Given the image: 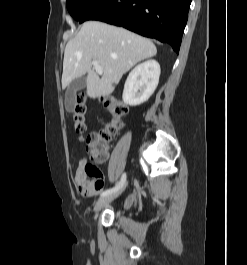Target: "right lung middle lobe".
Masks as SVG:
<instances>
[{"label":"right lung middle lobe","mask_w":247,"mask_h":265,"mask_svg":"<svg viewBox=\"0 0 247 265\" xmlns=\"http://www.w3.org/2000/svg\"><path fill=\"white\" fill-rule=\"evenodd\" d=\"M99 0H67L66 5L71 16L79 21L83 15Z\"/></svg>","instance_id":"right-lung-middle-lobe-1"}]
</instances>
